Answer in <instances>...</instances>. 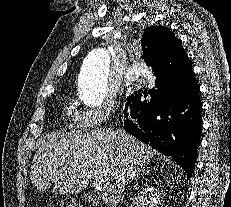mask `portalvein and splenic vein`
Listing matches in <instances>:
<instances>
[{"mask_svg": "<svg viewBox=\"0 0 231 207\" xmlns=\"http://www.w3.org/2000/svg\"><path fill=\"white\" fill-rule=\"evenodd\" d=\"M101 182L100 181H94V183H93V186L94 187H97V188H100L101 187Z\"/></svg>", "mask_w": 231, "mask_h": 207, "instance_id": "1", "label": "portal vein and splenic vein"}]
</instances>
